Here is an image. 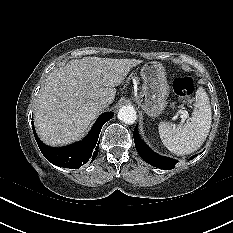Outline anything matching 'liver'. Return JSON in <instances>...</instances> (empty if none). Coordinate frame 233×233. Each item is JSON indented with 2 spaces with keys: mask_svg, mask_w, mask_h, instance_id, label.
<instances>
[{
  "mask_svg": "<svg viewBox=\"0 0 233 233\" xmlns=\"http://www.w3.org/2000/svg\"><path fill=\"white\" fill-rule=\"evenodd\" d=\"M142 63L136 59L84 57L53 70L38 94L34 123L40 139L62 146L82 136L103 109L102 98L113 102L115 87Z\"/></svg>",
  "mask_w": 233,
  "mask_h": 233,
  "instance_id": "6515ba94",
  "label": "liver"
}]
</instances>
